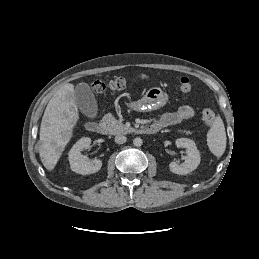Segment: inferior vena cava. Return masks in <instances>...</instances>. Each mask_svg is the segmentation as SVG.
Here are the masks:
<instances>
[{"instance_id":"602c4592","label":"inferior vena cava","mask_w":259,"mask_h":259,"mask_svg":"<svg viewBox=\"0 0 259 259\" xmlns=\"http://www.w3.org/2000/svg\"><path fill=\"white\" fill-rule=\"evenodd\" d=\"M114 140L117 144H123L126 142L127 138L124 135H117Z\"/></svg>"}]
</instances>
